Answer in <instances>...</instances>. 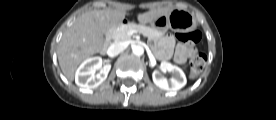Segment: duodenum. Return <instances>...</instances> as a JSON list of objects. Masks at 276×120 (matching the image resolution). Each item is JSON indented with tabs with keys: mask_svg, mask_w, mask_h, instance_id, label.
I'll use <instances>...</instances> for the list:
<instances>
[{
	"mask_svg": "<svg viewBox=\"0 0 276 120\" xmlns=\"http://www.w3.org/2000/svg\"><path fill=\"white\" fill-rule=\"evenodd\" d=\"M127 23L126 19H122L120 20L117 24H115L111 29H109L106 34H105V46H104V50H106L108 44L111 43L112 39H113V34L115 29L124 26Z\"/></svg>",
	"mask_w": 276,
	"mask_h": 120,
	"instance_id": "410a0bca",
	"label": "duodenum"
}]
</instances>
